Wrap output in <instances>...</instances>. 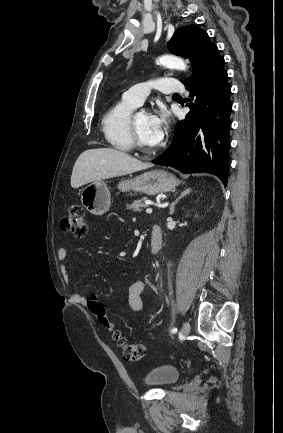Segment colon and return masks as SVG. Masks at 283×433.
Wrapping results in <instances>:
<instances>
[{"instance_id": "obj_1", "label": "colon", "mask_w": 283, "mask_h": 433, "mask_svg": "<svg viewBox=\"0 0 283 433\" xmlns=\"http://www.w3.org/2000/svg\"><path fill=\"white\" fill-rule=\"evenodd\" d=\"M61 228L63 231L69 232L75 237H84L87 233V221L84 208L79 204L71 205L68 213L61 220ZM87 306L96 316L99 323L104 328L113 332V338L121 347L125 360L136 362L145 356L146 346L143 343H128L122 333L115 328L113 321L106 314L104 307L96 297L89 298Z\"/></svg>"}]
</instances>
